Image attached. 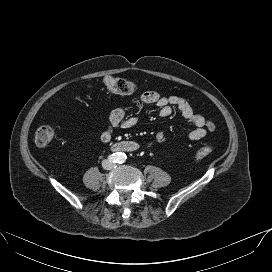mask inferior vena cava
I'll return each instance as SVG.
<instances>
[{
  "label": "inferior vena cava",
  "mask_w": 272,
  "mask_h": 272,
  "mask_svg": "<svg viewBox=\"0 0 272 272\" xmlns=\"http://www.w3.org/2000/svg\"><path fill=\"white\" fill-rule=\"evenodd\" d=\"M114 163L105 159L102 161V167L106 170H112L114 168Z\"/></svg>",
  "instance_id": "1"
}]
</instances>
